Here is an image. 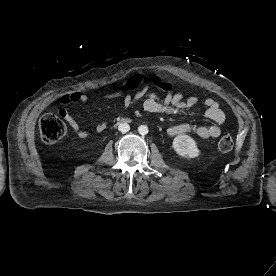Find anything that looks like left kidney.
Here are the masks:
<instances>
[{
  "label": "left kidney",
  "mask_w": 276,
  "mask_h": 276,
  "mask_svg": "<svg viewBox=\"0 0 276 276\" xmlns=\"http://www.w3.org/2000/svg\"><path fill=\"white\" fill-rule=\"evenodd\" d=\"M172 146L176 153L184 158H196L200 153L195 140L185 134L176 136Z\"/></svg>",
  "instance_id": "1"
}]
</instances>
